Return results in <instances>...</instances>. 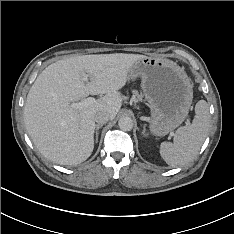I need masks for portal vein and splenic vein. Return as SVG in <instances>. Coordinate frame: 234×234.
<instances>
[{
	"mask_svg": "<svg viewBox=\"0 0 234 234\" xmlns=\"http://www.w3.org/2000/svg\"><path fill=\"white\" fill-rule=\"evenodd\" d=\"M83 79H84L85 82H88V75H87V74H84V75H83ZM95 101H96L95 98H93V97H88V98L82 100L81 102L72 103V104L70 105V107L73 108V109L80 110V109H82V108H84V107H86V106H88V105H91V104L95 103Z\"/></svg>",
	"mask_w": 234,
	"mask_h": 234,
	"instance_id": "1",
	"label": "portal vein and splenic vein"
}]
</instances>
